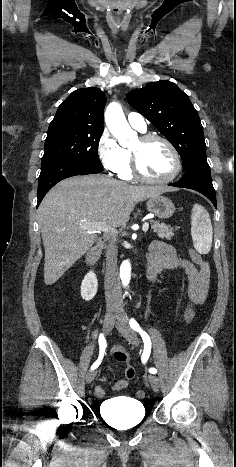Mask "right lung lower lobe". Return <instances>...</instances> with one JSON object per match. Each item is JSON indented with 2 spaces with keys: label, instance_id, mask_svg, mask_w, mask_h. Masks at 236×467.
<instances>
[{
  "label": "right lung lower lobe",
  "instance_id": "right-lung-lower-lobe-1",
  "mask_svg": "<svg viewBox=\"0 0 236 467\" xmlns=\"http://www.w3.org/2000/svg\"><path fill=\"white\" fill-rule=\"evenodd\" d=\"M102 170L74 160H59L41 166V173L38 178L37 207L45 194L59 181L75 175L100 173Z\"/></svg>",
  "mask_w": 236,
  "mask_h": 467
}]
</instances>
